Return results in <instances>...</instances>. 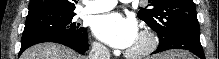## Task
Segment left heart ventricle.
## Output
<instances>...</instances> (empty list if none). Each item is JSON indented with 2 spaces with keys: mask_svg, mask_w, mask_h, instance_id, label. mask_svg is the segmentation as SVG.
Segmentation results:
<instances>
[{
  "mask_svg": "<svg viewBox=\"0 0 219 59\" xmlns=\"http://www.w3.org/2000/svg\"><path fill=\"white\" fill-rule=\"evenodd\" d=\"M143 44V41L141 40V38L138 36L137 39L135 40V42L132 44V46L130 48H138Z\"/></svg>",
  "mask_w": 219,
  "mask_h": 59,
  "instance_id": "left-heart-ventricle-1",
  "label": "left heart ventricle"
}]
</instances>
